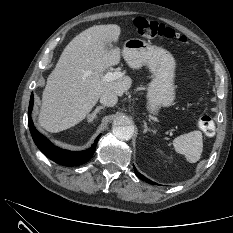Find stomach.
I'll use <instances>...</instances> for the list:
<instances>
[{
    "instance_id": "stomach-1",
    "label": "stomach",
    "mask_w": 233,
    "mask_h": 233,
    "mask_svg": "<svg viewBox=\"0 0 233 233\" xmlns=\"http://www.w3.org/2000/svg\"><path fill=\"white\" fill-rule=\"evenodd\" d=\"M122 54L131 68L147 66L154 76L148 87V111L156 115L161 107L170 106L175 99L176 63L172 54L138 38L128 39Z\"/></svg>"
}]
</instances>
